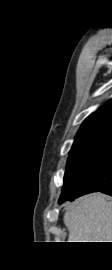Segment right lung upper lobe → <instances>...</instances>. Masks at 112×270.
<instances>
[{
    "mask_svg": "<svg viewBox=\"0 0 112 270\" xmlns=\"http://www.w3.org/2000/svg\"><path fill=\"white\" fill-rule=\"evenodd\" d=\"M108 125H112V100L87 117L76 136L94 128Z\"/></svg>",
    "mask_w": 112,
    "mask_h": 270,
    "instance_id": "1",
    "label": "right lung upper lobe"
}]
</instances>
